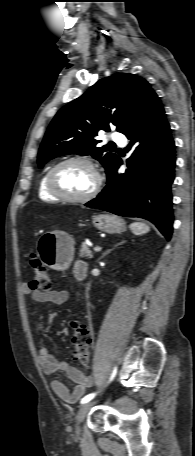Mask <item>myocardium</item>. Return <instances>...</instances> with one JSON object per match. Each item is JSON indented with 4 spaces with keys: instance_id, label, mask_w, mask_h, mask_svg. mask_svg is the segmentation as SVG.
Wrapping results in <instances>:
<instances>
[{
    "instance_id": "myocardium-1",
    "label": "myocardium",
    "mask_w": 195,
    "mask_h": 456,
    "mask_svg": "<svg viewBox=\"0 0 195 456\" xmlns=\"http://www.w3.org/2000/svg\"><path fill=\"white\" fill-rule=\"evenodd\" d=\"M69 163H82L87 165L93 172L94 177H95V182L93 188L88 192L87 194L83 196H71L68 194H65L62 190L59 189V187L56 184V175L58 171L65 165ZM102 184V178L99 169L95 165L93 161L86 157H69L66 158L56 165H54L48 172L47 179H46V185L48 188V191L55 196L57 199L69 202V203H86L90 200H92L99 192Z\"/></svg>"
}]
</instances>
